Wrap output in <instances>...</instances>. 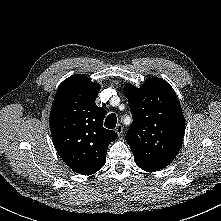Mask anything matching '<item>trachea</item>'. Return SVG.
<instances>
[{
  "label": "trachea",
  "instance_id": "3493384b",
  "mask_svg": "<svg viewBox=\"0 0 221 221\" xmlns=\"http://www.w3.org/2000/svg\"><path fill=\"white\" fill-rule=\"evenodd\" d=\"M117 117L114 113H111L107 116L105 120V127L108 129H114L116 127Z\"/></svg>",
  "mask_w": 221,
  "mask_h": 221
}]
</instances>
